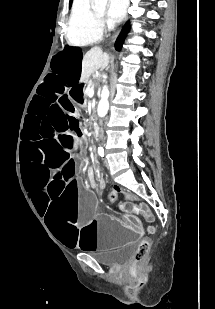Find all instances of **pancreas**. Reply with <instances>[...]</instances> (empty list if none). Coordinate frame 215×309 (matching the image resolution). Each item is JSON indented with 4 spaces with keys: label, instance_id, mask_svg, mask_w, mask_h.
<instances>
[{
    "label": "pancreas",
    "instance_id": "1",
    "mask_svg": "<svg viewBox=\"0 0 215 309\" xmlns=\"http://www.w3.org/2000/svg\"><path fill=\"white\" fill-rule=\"evenodd\" d=\"M86 84V88H94L95 80H92V78H90V80H87ZM86 88H84V98H88V92H86Z\"/></svg>",
    "mask_w": 215,
    "mask_h": 309
}]
</instances>
